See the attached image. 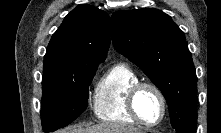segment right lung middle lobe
<instances>
[{"instance_id": "right-lung-middle-lobe-1", "label": "right lung middle lobe", "mask_w": 221, "mask_h": 133, "mask_svg": "<svg viewBox=\"0 0 221 133\" xmlns=\"http://www.w3.org/2000/svg\"><path fill=\"white\" fill-rule=\"evenodd\" d=\"M98 65L79 64L43 73L41 120L44 132L70 124L87 108L89 85Z\"/></svg>"}]
</instances>
